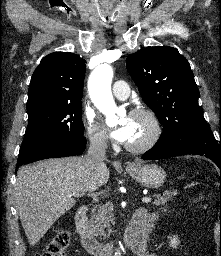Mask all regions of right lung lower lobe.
I'll list each match as a JSON object with an SVG mask.
<instances>
[{"mask_svg": "<svg viewBox=\"0 0 221 256\" xmlns=\"http://www.w3.org/2000/svg\"><path fill=\"white\" fill-rule=\"evenodd\" d=\"M85 146L86 138L83 135L63 134L50 137L21 151L17 166L47 158L80 155Z\"/></svg>", "mask_w": 221, "mask_h": 256, "instance_id": "1", "label": "right lung lower lobe"}]
</instances>
